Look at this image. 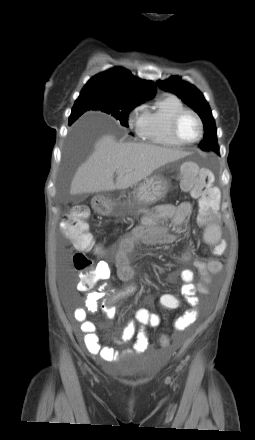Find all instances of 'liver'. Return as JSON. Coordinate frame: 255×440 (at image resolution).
Returning a JSON list of instances; mask_svg holds the SVG:
<instances>
[{"instance_id":"liver-1","label":"liver","mask_w":255,"mask_h":440,"mask_svg":"<svg viewBox=\"0 0 255 440\" xmlns=\"http://www.w3.org/2000/svg\"><path fill=\"white\" fill-rule=\"evenodd\" d=\"M186 155V152L156 145L118 143L114 136L104 135L95 143L93 153L75 173L70 194L127 189L146 179L161 166Z\"/></svg>"}]
</instances>
